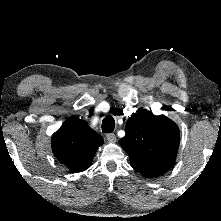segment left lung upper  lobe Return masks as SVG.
Listing matches in <instances>:
<instances>
[{
  "label": "left lung upper lobe",
  "mask_w": 221,
  "mask_h": 221,
  "mask_svg": "<svg viewBox=\"0 0 221 221\" xmlns=\"http://www.w3.org/2000/svg\"><path fill=\"white\" fill-rule=\"evenodd\" d=\"M179 140V129L173 121L140 110L127 120L126 135L119 143L127 152L131 166L152 178L174 165Z\"/></svg>",
  "instance_id": "5c2ea615"
}]
</instances>
